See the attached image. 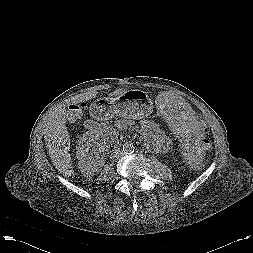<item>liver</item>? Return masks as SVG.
<instances>
[{"label":"liver","instance_id":"liver-1","mask_svg":"<svg viewBox=\"0 0 253 253\" xmlns=\"http://www.w3.org/2000/svg\"><path fill=\"white\" fill-rule=\"evenodd\" d=\"M127 89H116L108 98H116L124 94ZM96 90L88 91L71 98L70 103L78 104L91 100L97 96ZM160 95V94H159ZM114 96V97H113ZM66 128L65 105L56 108L48 118L45 127V141L49 149L51 161L59 173L65 177H73L74 170L69 153L70 138Z\"/></svg>","mask_w":253,"mask_h":253}]
</instances>
